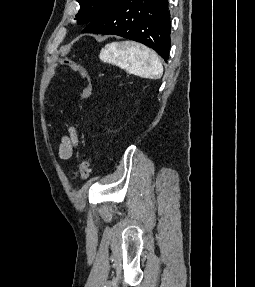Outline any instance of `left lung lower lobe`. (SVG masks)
I'll use <instances>...</instances> for the list:
<instances>
[{
	"mask_svg": "<svg viewBox=\"0 0 255 287\" xmlns=\"http://www.w3.org/2000/svg\"><path fill=\"white\" fill-rule=\"evenodd\" d=\"M170 32L168 0H112L82 31L114 34L141 42L166 62Z\"/></svg>",
	"mask_w": 255,
	"mask_h": 287,
	"instance_id": "0a47b994",
	"label": "left lung lower lobe"
}]
</instances>
